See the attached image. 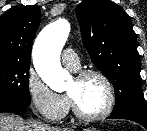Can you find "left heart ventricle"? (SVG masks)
<instances>
[{"instance_id": "left-heart-ventricle-1", "label": "left heart ventricle", "mask_w": 147, "mask_h": 131, "mask_svg": "<svg viewBox=\"0 0 147 131\" xmlns=\"http://www.w3.org/2000/svg\"><path fill=\"white\" fill-rule=\"evenodd\" d=\"M67 93L75 99L79 109L85 114L98 113L107 103L105 85L97 77L83 80L73 78L68 85Z\"/></svg>"}]
</instances>
